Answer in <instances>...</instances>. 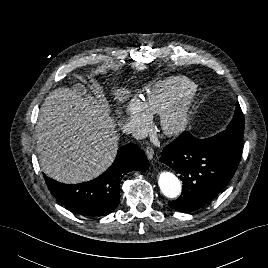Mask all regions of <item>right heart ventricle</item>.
I'll return each mask as SVG.
<instances>
[{
  "label": "right heart ventricle",
  "mask_w": 268,
  "mask_h": 268,
  "mask_svg": "<svg viewBox=\"0 0 268 268\" xmlns=\"http://www.w3.org/2000/svg\"><path fill=\"white\" fill-rule=\"evenodd\" d=\"M194 87L186 77H171L146 89L143 101L151 114H161L182 93Z\"/></svg>",
  "instance_id": "right-heart-ventricle-1"
}]
</instances>
